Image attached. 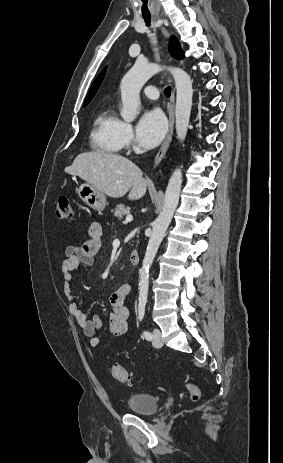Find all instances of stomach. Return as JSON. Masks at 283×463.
Returning <instances> with one entry per match:
<instances>
[{"label": "stomach", "instance_id": "1", "mask_svg": "<svg viewBox=\"0 0 283 463\" xmlns=\"http://www.w3.org/2000/svg\"><path fill=\"white\" fill-rule=\"evenodd\" d=\"M77 193L80 199L95 211H103L106 207V196L90 183L81 184Z\"/></svg>", "mask_w": 283, "mask_h": 463}]
</instances>
